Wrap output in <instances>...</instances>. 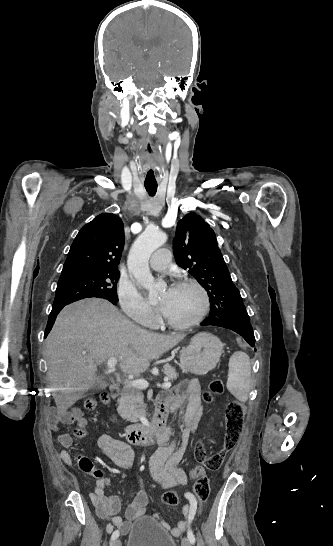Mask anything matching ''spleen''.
<instances>
[{
    "mask_svg": "<svg viewBox=\"0 0 333 546\" xmlns=\"http://www.w3.org/2000/svg\"><path fill=\"white\" fill-rule=\"evenodd\" d=\"M227 388L239 401L248 400L251 389V364L246 353L237 351L230 357Z\"/></svg>",
    "mask_w": 333,
    "mask_h": 546,
    "instance_id": "3e777b00",
    "label": "spleen"
}]
</instances>
